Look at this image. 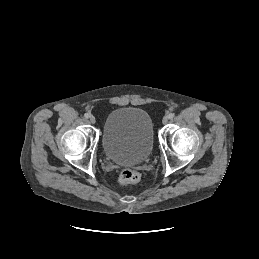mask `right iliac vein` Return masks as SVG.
Listing matches in <instances>:
<instances>
[{"mask_svg":"<svg viewBox=\"0 0 259 259\" xmlns=\"http://www.w3.org/2000/svg\"><path fill=\"white\" fill-rule=\"evenodd\" d=\"M89 120H90V122H91L92 124H94V123L96 122V119H95V117H94L93 115H91V116L89 117Z\"/></svg>","mask_w":259,"mask_h":259,"instance_id":"1","label":"right iliac vein"}]
</instances>
